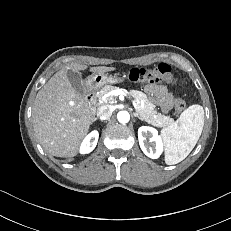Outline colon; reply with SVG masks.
<instances>
[{"mask_svg":"<svg viewBox=\"0 0 231 231\" xmlns=\"http://www.w3.org/2000/svg\"><path fill=\"white\" fill-rule=\"evenodd\" d=\"M126 77L130 81L139 84H150L161 80L168 83L176 82L171 67L165 63L147 68H133L127 72ZM181 83L184 84L185 80H182ZM186 107V101L182 98H178L175 102L174 110L176 113H182Z\"/></svg>","mask_w":231,"mask_h":231,"instance_id":"colon-1","label":"colon"}]
</instances>
